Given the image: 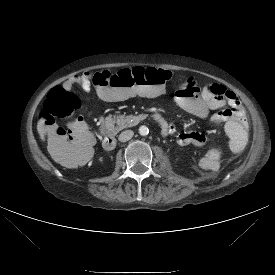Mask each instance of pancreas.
<instances>
[{"label": "pancreas", "mask_w": 275, "mask_h": 275, "mask_svg": "<svg viewBox=\"0 0 275 275\" xmlns=\"http://www.w3.org/2000/svg\"><path fill=\"white\" fill-rule=\"evenodd\" d=\"M141 120V116H135V115H117L114 117V122L117 125V130L120 131L127 127H132L137 125Z\"/></svg>", "instance_id": "1"}]
</instances>
